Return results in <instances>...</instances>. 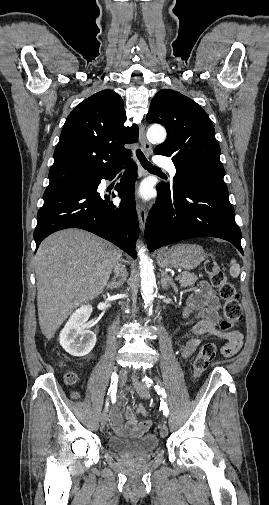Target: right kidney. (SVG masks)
<instances>
[{"label":"right kidney","instance_id":"right-kidney-1","mask_svg":"<svg viewBox=\"0 0 269 505\" xmlns=\"http://www.w3.org/2000/svg\"><path fill=\"white\" fill-rule=\"evenodd\" d=\"M91 313V305L81 306L71 315L60 333L61 346L73 356H85L95 346V333L83 327Z\"/></svg>","mask_w":269,"mask_h":505}]
</instances>
